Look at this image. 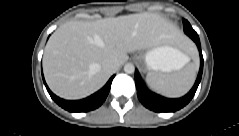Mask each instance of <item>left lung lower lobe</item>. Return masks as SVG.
Here are the masks:
<instances>
[{
  "mask_svg": "<svg viewBox=\"0 0 239 136\" xmlns=\"http://www.w3.org/2000/svg\"><path fill=\"white\" fill-rule=\"evenodd\" d=\"M185 33L196 43L200 53L201 64H200V70H199L196 82L194 86L192 87V89L185 96L181 98H177V99H168L148 90L143 84V81L138 71L136 70L135 82H136L138 98L140 102L150 110H153L155 112H175L190 102V100L193 98L198 88V85L202 77L203 62H204L202 52H201L200 40H199L198 34L194 30H186Z\"/></svg>",
  "mask_w": 239,
  "mask_h": 136,
  "instance_id": "0a47b994",
  "label": "left lung lower lobe"
}]
</instances>
